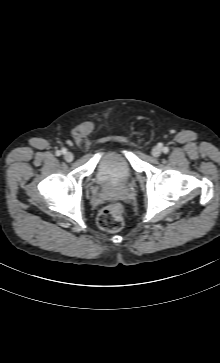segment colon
Here are the masks:
<instances>
[{
  "mask_svg": "<svg viewBox=\"0 0 220 363\" xmlns=\"http://www.w3.org/2000/svg\"><path fill=\"white\" fill-rule=\"evenodd\" d=\"M124 208L120 203L107 205L98 215V226L107 232H117L124 224Z\"/></svg>",
  "mask_w": 220,
  "mask_h": 363,
  "instance_id": "5ec220e1",
  "label": "colon"
}]
</instances>
